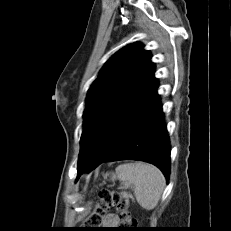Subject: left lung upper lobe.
Segmentation results:
<instances>
[{"mask_svg": "<svg viewBox=\"0 0 231 231\" xmlns=\"http://www.w3.org/2000/svg\"><path fill=\"white\" fill-rule=\"evenodd\" d=\"M154 69L149 51L140 43L123 47L106 62L86 98L78 167L85 164L108 124Z\"/></svg>", "mask_w": 231, "mask_h": 231, "instance_id": "obj_1", "label": "left lung upper lobe"}]
</instances>
